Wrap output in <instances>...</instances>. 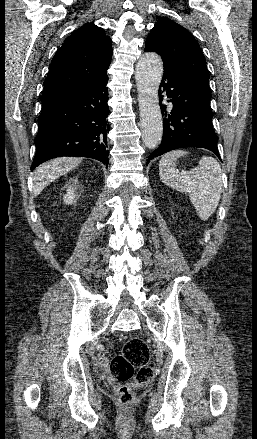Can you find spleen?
Segmentation results:
<instances>
[{
  "label": "spleen",
  "mask_w": 257,
  "mask_h": 439,
  "mask_svg": "<svg viewBox=\"0 0 257 439\" xmlns=\"http://www.w3.org/2000/svg\"><path fill=\"white\" fill-rule=\"evenodd\" d=\"M187 154V151L175 150L163 155L159 162L160 179L168 187L188 194L198 217L206 221L215 212L221 198V168L216 159L203 156L189 174H179L177 158Z\"/></svg>",
  "instance_id": "spleen-1"
}]
</instances>
